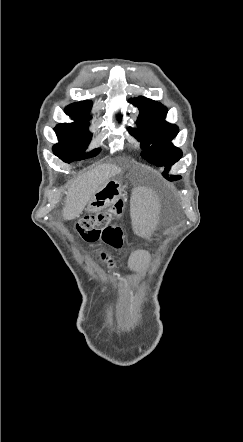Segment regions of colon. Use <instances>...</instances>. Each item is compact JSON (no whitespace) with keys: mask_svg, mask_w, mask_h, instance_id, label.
<instances>
[{"mask_svg":"<svg viewBox=\"0 0 243 442\" xmlns=\"http://www.w3.org/2000/svg\"><path fill=\"white\" fill-rule=\"evenodd\" d=\"M124 212V202L118 199L111 207L80 219L76 225L77 232L87 242H102L105 245L119 249L123 245V231L118 225ZM88 250H94V245H88ZM107 259V254H102Z\"/></svg>","mask_w":243,"mask_h":442,"instance_id":"5ec220e1","label":"colon"}]
</instances>
